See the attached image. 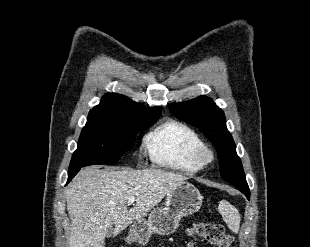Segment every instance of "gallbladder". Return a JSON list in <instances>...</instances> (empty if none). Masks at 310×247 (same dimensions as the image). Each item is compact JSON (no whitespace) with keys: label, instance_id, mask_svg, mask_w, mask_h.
<instances>
[{"label":"gallbladder","instance_id":"obj_1","mask_svg":"<svg viewBox=\"0 0 310 247\" xmlns=\"http://www.w3.org/2000/svg\"><path fill=\"white\" fill-rule=\"evenodd\" d=\"M113 231H114V229L112 227H110L107 231L106 237L109 238L112 235Z\"/></svg>","mask_w":310,"mask_h":247}]
</instances>
